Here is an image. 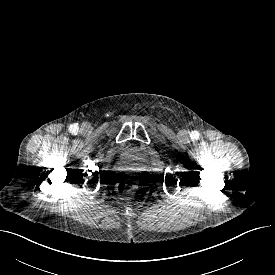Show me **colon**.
<instances>
[{"instance_id":"obj_1","label":"colon","mask_w":275,"mask_h":275,"mask_svg":"<svg viewBox=\"0 0 275 275\" xmlns=\"http://www.w3.org/2000/svg\"><path fill=\"white\" fill-rule=\"evenodd\" d=\"M135 190V183L132 180L120 182L117 191L120 196L127 198L132 195Z\"/></svg>"}]
</instances>
